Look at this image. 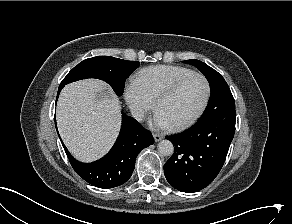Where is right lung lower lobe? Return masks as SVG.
I'll return each mask as SVG.
<instances>
[{"label":"right lung lower lobe","mask_w":292,"mask_h":224,"mask_svg":"<svg viewBox=\"0 0 292 224\" xmlns=\"http://www.w3.org/2000/svg\"><path fill=\"white\" fill-rule=\"evenodd\" d=\"M63 87L59 86L57 98ZM153 143V137L148 130L134 118L123 114L119 136L103 158L92 163H82L75 160L65 145H62L73 169L81 178L98 188H113L129 180L138 153Z\"/></svg>","instance_id":"1"}]
</instances>
